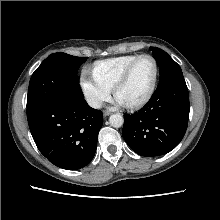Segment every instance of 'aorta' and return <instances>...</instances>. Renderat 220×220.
<instances>
[{
    "label": "aorta",
    "mask_w": 220,
    "mask_h": 220,
    "mask_svg": "<svg viewBox=\"0 0 220 220\" xmlns=\"http://www.w3.org/2000/svg\"><path fill=\"white\" fill-rule=\"evenodd\" d=\"M110 125L114 128H119L123 125L124 119L120 114H113L109 118Z\"/></svg>",
    "instance_id": "1"
}]
</instances>
